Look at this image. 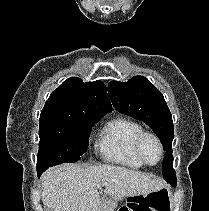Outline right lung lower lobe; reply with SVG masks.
<instances>
[{
	"label": "right lung lower lobe",
	"mask_w": 209,
	"mask_h": 211,
	"mask_svg": "<svg viewBox=\"0 0 209 211\" xmlns=\"http://www.w3.org/2000/svg\"><path fill=\"white\" fill-rule=\"evenodd\" d=\"M43 172H44V171H42V170H37L38 177H40V175H41Z\"/></svg>",
	"instance_id": "1"
}]
</instances>
